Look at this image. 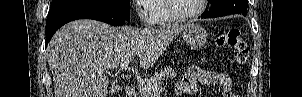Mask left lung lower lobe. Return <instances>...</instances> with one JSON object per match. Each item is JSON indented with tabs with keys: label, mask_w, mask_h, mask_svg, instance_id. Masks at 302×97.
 Segmentation results:
<instances>
[{
	"label": "left lung lower lobe",
	"mask_w": 302,
	"mask_h": 97,
	"mask_svg": "<svg viewBox=\"0 0 302 97\" xmlns=\"http://www.w3.org/2000/svg\"><path fill=\"white\" fill-rule=\"evenodd\" d=\"M214 17H219V16L214 13H211L210 11L205 12L204 14L201 15V18H214Z\"/></svg>",
	"instance_id": "1"
}]
</instances>
